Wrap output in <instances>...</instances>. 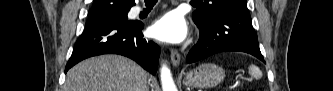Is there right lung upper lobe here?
<instances>
[{
	"label": "right lung upper lobe",
	"mask_w": 333,
	"mask_h": 91,
	"mask_svg": "<svg viewBox=\"0 0 333 91\" xmlns=\"http://www.w3.org/2000/svg\"><path fill=\"white\" fill-rule=\"evenodd\" d=\"M134 0H94L89 20H98L129 11Z\"/></svg>",
	"instance_id": "1"
}]
</instances>
